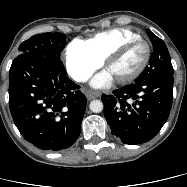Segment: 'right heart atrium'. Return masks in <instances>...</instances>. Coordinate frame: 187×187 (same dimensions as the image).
<instances>
[{
	"label": "right heart atrium",
	"mask_w": 187,
	"mask_h": 187,
	"mask_svg": "<svg viewBox=\"0 0 187 187\" xmlns=\"http://www.w3.org/2000/svg\"><path fill=\"white\" fill-rule=\"evenodd\" d=\"M65 62L69 74L76 81L83 82L102 65L103 60L88 47L85 41L75 39L66 48Z\"/></svg>",
	"instance_id": "d8ad5b80"
}]
</instances>
